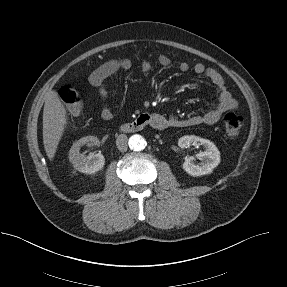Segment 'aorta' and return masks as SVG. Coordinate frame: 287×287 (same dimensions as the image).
Masks as SVG:
<instances>
[{
  "label": "aorta",
  "instance_id": "1",
  "mask_svg": "<svg viewBox=\"0 0 287 287\" xmlns=\"http://www.w3.org/2000/svg\"><path fill=\"white\" fill-rule=\"evenodd\" d=\"M128 144H129L130 149L134 151H141L147 145L145 139L141 135H138V134L131 136L129 138Z\"/></svg>",
  "mask_w": 287,
  "mask_h": 287
}]
</instances>
